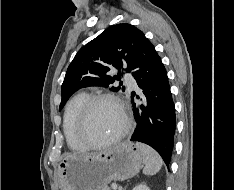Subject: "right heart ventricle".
<instances>
[{
  "mask_svg": "<svg viewBox=\"0 0 234 190\" xmlns=\"http://www.w3.org/2000/svg\"><path fill=\"white\" fill-rule=\"evenodd\" d=\"M88 97V94L84 92L76 94L68 102L64 113L63 131L67 145L70 149L78 152L87 149V146L78 138L77 121L80 110Z\"/></svg>",
  "mask_w": 234,
  "mask_h": 190,
  "instance_id": "1",
  "label": "right heart ventricle"
}]
</instances>
